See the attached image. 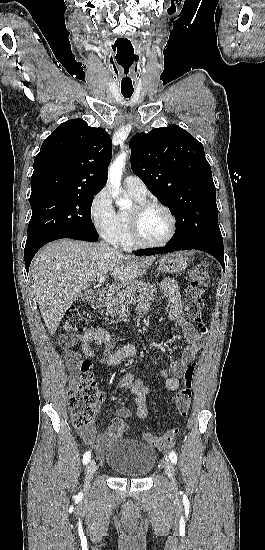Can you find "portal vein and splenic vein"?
<instances>
[{"instance_id": "18ae733b", "label": "portal vein and splenic vein", "mask_w": 265, "mask_h": 550, "mask_svg": "<svg viewBox=\"0 0 265 550\" xmlns=\"http://www.w3.org/2000/svg\"><path fill=\"white\" fill-rule=\"evenodd\" d=\"M105 279H106V278H105L104 276H103V277H100V278L98 279V282H99V283H103V282L105 281Z\"/></svg>"}]
</instances>
